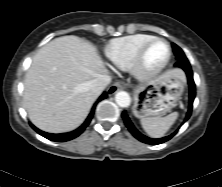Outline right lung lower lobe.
I'll use <instances>...</instances> for the list:
<instances>
[{
  "label": "right lung lower lobe",
  "instance_id": "98d812e1",
  "mask_svg": "<svg viewBox=\"0 0 222 187\" xmlns=\"http://www.w3.org/2000/svg\"><path fill=\"white\" fill-rule=\"evenodd\" d=\"M107 97V93L104 92L99 98L98 100L95 102L94 106L92 107V110L89 114V116L87 117L86 121L76 130L69 132V133H64V134H50V133H46L43 132L41 130H39L38 128H36L34 125L30 124L31 127L40 135H42L43 137L51 140V141H57V142H64V141H68L71 139L76 138L77 136H79L84 130L85 128L88 126V124L90 123L93 115H94V111H95V107L98 104V102H100L101 100L105 99Z\"/></svg>",
  "mask_w": 222,
  "mask_h": 187
}]
</instances>
